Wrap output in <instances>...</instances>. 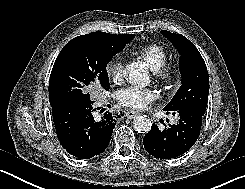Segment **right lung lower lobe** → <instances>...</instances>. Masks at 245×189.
<instances>
[{"instance_id":"obj_1","label":"right lung lower lobe","mask_w":245,"mask_h":189,"mask_svg":"<svg viewBox=\"0 0 245 189\" xmlns=\"http://www.w3.org/2000/svg\"><path fill=\"white\" fill-rule=\"evenodd\" d=\"M94 101L61 105L52 108L53 121L61 145L80 159H89L104 152L108 146L118 114L105 113L95 120ZM98 109V108H97Z\"/></svg>"}]
</instances>
